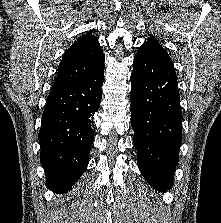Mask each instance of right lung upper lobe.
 Wrapping results in <instances>:
<instances>
[{
  "instance_id": "obj_1",
  "label": "right lung upper lobe",
  "mask_w": 221,
  "mask_h": 223,
  "mask_svg": "<svg viewBox=\"0 0 221 223\" xmlns=\"http://www.w3.org/2000/svg\"><path fill=\"white\" fill-rule=\"evenodd\" d=\"M104 60L98 39L92 34L82 36L65 52L51 90L73 85L91 76L104 67Z\"/></svg>"
}]
</instances>
